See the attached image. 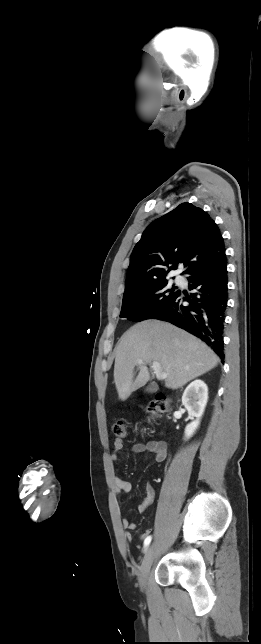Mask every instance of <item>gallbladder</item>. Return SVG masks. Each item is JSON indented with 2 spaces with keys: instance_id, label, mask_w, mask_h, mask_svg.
Segmentation results:
<instances>
[{
  "instance_id": "gallbladder-1",
  "label": "gallbladder",
  "mask_w": 261,
  "mask_h": 644,
  "mask_svg": "<svg viewBox=\"0 0 261 644\" xmlns=\"http://www.w3.org/2000/svg\"><path fill=\"white\" fill-rule=\"evenodd\" d=\"M156 390H157V387H156L155 385H149V386L146 388V391H147L148 393H153V392H155Z\"/></svg>"
}]
</instances>
